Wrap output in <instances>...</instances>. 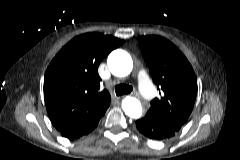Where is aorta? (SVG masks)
<instances>
[{
	"mask_svg": "<svg viewBox=\"0 0 240 160\" xmlns=\"http://www.w3.org/2000/svg\"><path fill=\"white\" fill-rule=\"evenodd\" d=\"M107 64L110 72L117 77L129 75L133 68L131 56L121 49L114 50L110 53ZM122 109L128 117L134 119L140 118L143 112L140 101L130 96L122 100Z\"/></svg>",
	"mask_w": 240,
	"mask_h": 160,
	"instance_id": "1",
	"label": "aorta"
}]
</instances>
